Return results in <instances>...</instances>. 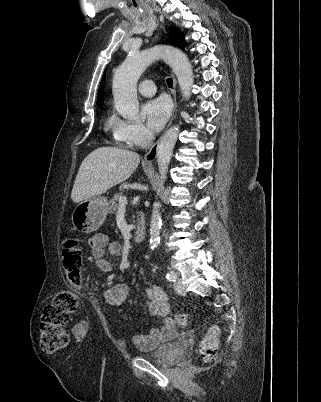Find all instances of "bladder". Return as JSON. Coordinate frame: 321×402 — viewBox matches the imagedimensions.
<instances>
[{
  "label": "bladder",
  "mask_w": 321,
  "mask_h": 402,
  "mask_svg": "<svg viewBox=\"0 0 321 402\" xmlns=\"http://www.w3.org/2000/svg\"><path fill=\"white\" fill-rule=\"evenodd\" d=\"M175 338H178V336H176ZM140 355L144 358L160 362L161 364L167 366L175 364L179 358L178 354L175 352L174 344L171 342L161 344L152 352H143L140 353Z\"/></svg>",
  "instance_id": "31cf9c89"
}]
</instances>
